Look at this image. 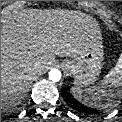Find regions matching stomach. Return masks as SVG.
Here are the masks:
<instances>
[{
    "mask_svg": "<svg viewBox=\"0 0 122 122\" xmlns=\"http://www.w3.org/2000/svg\"><path fill=\"white\" fill-rule=\"evenodd\" d=\"M101 46H91L72 60H63L61 67L74 78V85L84 88L93 84L101 73L103 61Z\"/></svg>",
    "mask_w": 122,
    "mask_h": 122,
    "instance_id": "1",
    "label": "stomach"
}]
</instances>
